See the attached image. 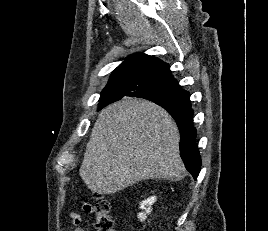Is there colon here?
<instances>
[{"label": "colon", "instance_id": "obj_1", "mask_svg": "<svg viewBox=\"0 0 268 231\" xmlns=\"http://www.w3.org/2000/svg\"><path fill=\"white\" fill-rule=\"evenodd\" d=\"M96 203L93 206L94 223L97 231H115L114 222L110 213L109 202L95 195Z\"/></svg>", "mask_w": 268, "mask_h": 231}]
</instances>
